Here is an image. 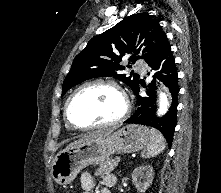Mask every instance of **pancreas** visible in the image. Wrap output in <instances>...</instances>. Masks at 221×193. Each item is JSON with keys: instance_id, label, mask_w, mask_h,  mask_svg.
I'll list each match as a JSON object with an SVG mask.
<instances>
[{"instance_id": "cf45deb5", "label": "pancreas", "mask_w": 221, "mask_h": 193, "mask_svg": "<svg viewBox=\"0 0 221 193\" xmlns=\"http://www.w3.org/2000/svg\"><path fill=\"white\" fill-rule=\"evenodd\" d=\"M115 162V159H107L100 164L99 168L95 171V175L102 177H104L105 175H109L115 168Z\"/></svg>"}]
</instances>
